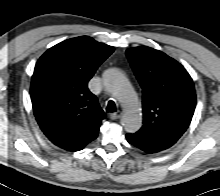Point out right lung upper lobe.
Listing matches in <instances>:
<instances>
[{
  "label": "right lung upper lobe",
  "instance_id": "right-lung-upper-lobe-1",
  "mask_svg": "<svg viewBox=\"0 0 220 196\" xmlns=\"http://www.w3.org/2000/svg\"><path fill=\"white\" fill-rule=\"evenodd\" d=\"M114 48L82 36L63 41L38 60L31 85L36 119L57 146L81 150L106 115L87 83Z\"/></svg>",
  "mask_w": 220,
  "mask_h": 196
}]
</instances>
